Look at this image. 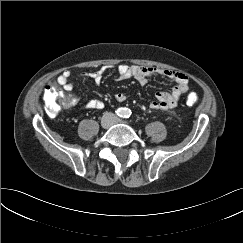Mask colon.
Segmentation results:
<instances>
[{"label":"colon","instance_id":"5ec220e1","mask_svg":"<svg viewBox=\"0 0 243 243\" xmlns=\"http://www.w3.org/2000/svg\"><path fill=\"white\" fill-rule=\"evenodd\" d=\"M44 100L46 103L47 111L50 115L54 116L63 108L70 106L71 98L66 96L57 85L48 86L44 91ZM198 97L196 94L191 93L186 99L188 105L197 103Z\"/></svg>","mask_w":243,"mask_h":243}]
</instances>
